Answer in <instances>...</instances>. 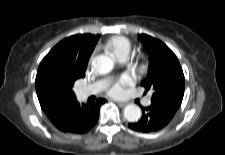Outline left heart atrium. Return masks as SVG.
Masks as SVG:
<instances>
[{
	"mask_svg": "<svg viewBox=\"0 0 225 155\" xmlns=\"http://www.w3.org/2000/svg\"><path fill=\"white\" fill-rule=\"evenodd\" d=\"M134 82V79L128 75L124 74L121 77H119L117 80L113 81L107 91L112 96H120L123 94L124 88L127 86L132 85Z\"/></svg>",
	"mask_w": 225,
	"mask_h": 155,
	"instance_id": "obj_1",
	"label": "left heart atrium"
}]
</instances>
